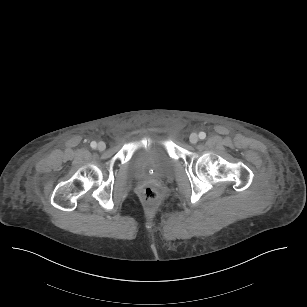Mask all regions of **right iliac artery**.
<instances>
[{
  "instance_id": "1",
  "label": "right iliac artery",
  "mask_w": 307,
  "mask_h": 307,
  "mask_svg": "<svg viewBox=\"0 0 307 307\" xmlns=\"http://www.w3.org/2000/svg\"><path fill=\"white\" fill-rule=\"evenodd\" d=\"M90 146H91L92 148H96L97 143H96L95 141H92L91 144H90Z\"/></svg>"
}]
</instances>
